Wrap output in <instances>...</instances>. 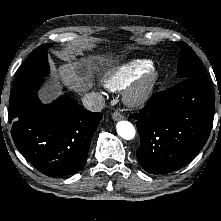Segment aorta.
Returning a JSON list of instances; mask_svg holds the SVG:
<instances>
[{"label":"aorta","instance_id":"1","mask_svg":"<svg viewBox=\"0 0 221 221\" xmlns=\"http://www.w3.org/2000/svg\"><path fill=\"white\" fill-rule=\"evenodd\" d=\"M116 130L118 135L125 140H131L135 137V128L129 121H119L116 125Z\"/></svg>","mask_w":221,"mask_h":221}]
</instances>
